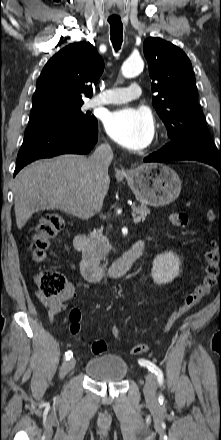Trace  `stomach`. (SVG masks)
I'll use <instances>...</instances> for the list:
<instances>
[{"mask_svg":"<svg viewBox=\"0 0 221 440\" xmlns=\"http://www.w3.org/2000/svg\"><path fill=\"white\" fill-rule=\"evenodd\" d=\"M127 182L135 196L151 206H165L180 194L178 174L162 163H147L128 171Z\"/></svg>","mask_w":221,"mask_h":440,"instance_id":"0dacf381","label":"stomach"}]
</instances>
